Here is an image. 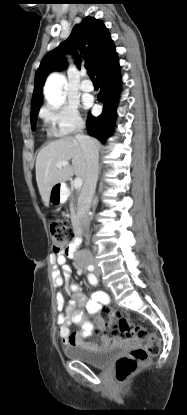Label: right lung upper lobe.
Returning <instances> with one entry per match:
<instances>
[{"instance_id": "right-lung-upper-lobe-1", "label": "right lung upper lobe", "mask_w": 187, "mask_h": 415, "mask_svg": "<svg viewBox=\"0 0 187 415\" xmlns=\"http://www.w3.org/2000/svg\"><path fill=\"white\" fill-rule=\"evenodd\" d=\"M67 53L73 56L78 68L85 66L95 75L117 54L110 34L101 21L87 17L75 25L69 38L42 59L35 75L31 112L42 104V87L48 74L67 68Z\"/></svg>"}]
</instances>
